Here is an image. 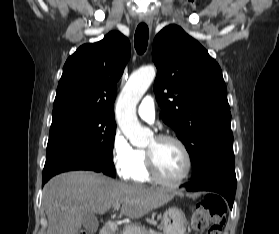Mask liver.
<instances>
[{
	"instance_id": "liver-1",
	"label": "liver",
	"mask_w": 279,
	"mask_h": 234,
	"mask_svg": "<svg viewBox=\"0 0 279 234\" xmlns=\"http://www.w3.org/2000/svg\"><path fill=\"white\" fill-rule=\"evenodd\" d=\"M172 198L165 190L129 185L90 171L63 173L43 189L46 234H78L85 214H104L117 203L122 204V215L138 219Z\"/></svg>"
}]
</instances>
